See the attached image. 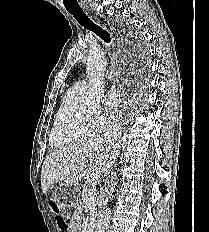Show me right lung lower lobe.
<instances>
[{
    "label": "right lung lower lobe",
    "instance_id": "1",
    "mask_svg": "<svg viewBox=\"0 0 209 232\" xmlns=\"http://www.w3.org/2000/svg\"><path fill=\"white\" fill-rule=\"evenodd\" d=\"M135 72L137 75H142L143 72H144V69H143V62L142 60L141 61H138L137 63H135Z\"/></svg>",
    "mask_w": 209,
    "mask_h": 232
}]
</instances>
